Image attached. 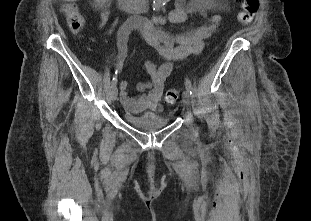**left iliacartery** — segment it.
<instances>
[{
  "instance_id": "obj_1",
  "label": "left iliac artery",
  "mask_w": 311,
  "mask_h": 221,
  "mask_svg": "<svg viewBox=\"0 0 311 221\" xmlns=\"http://www.w3.org/2000/svg\"><path fill=\"white\" fill-rule=\"evenodd\" d=\"M185 86H186L187 91H188L190 94H192V84H191V82H190L189 79H186V80H185Z\"/></svg>"
}]
</instances>
